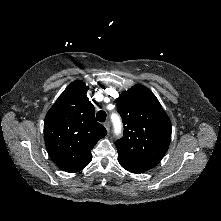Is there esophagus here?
<instances>
[{
	"mask_svg": "<svg viewBox=\"0 0 221 221\" xmlns=\"http://www.w3.org/2000/svg\"><path fill=\"white\" fill-rule=\"evenodd\" d=\"M104 127L106 128L107 131H109V129H110V122H109V121H106V122L104 123Z\"/></svg>",
	"mask_w": 221,
	"mask_h": 221,
	"instance_id": "obj_1",
	"label": "esophagus"
}]
</instances>
